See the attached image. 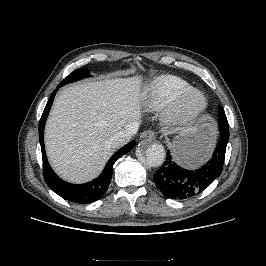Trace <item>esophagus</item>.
<instances>
[{
	"label": "esophagus",
	"mask_w": 266,
	"mask_h": 266,
	"mask_svg": "<svg viewBox=\"0 0 266 266\" xmlns=\"http://www.w3.org/2000/svg\"><path fill=\"white\" fill-rule=\"evenodd\" d=\"M155 137H156V134L152 130H146L142 132L140 136L141 139H148V140H154Z\"/></svg>",
	"instance_id": "34e87169"
}]
</instances>
